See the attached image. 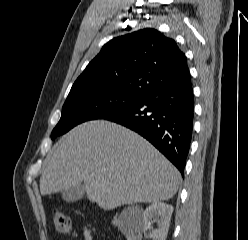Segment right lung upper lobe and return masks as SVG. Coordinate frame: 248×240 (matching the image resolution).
<instances>
[{"label": "right lung upper lobe", "instance_id": "right-lung-upper-lobe-1", "mask_svg": "<svg viewBox=\"0 0 248 240\" xmlns=\"http://www.w3.org/2000/svg\"><path fill=\"white\" fill-rule=\"evenodd\" d=\"M189 75L186 56L176 42L147 28L106 43L71 90L112 88L144 96Z\"/></svg>", "mask_w": 248, "mask_h": 240}]
</instances>
